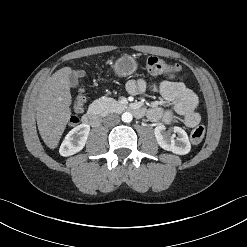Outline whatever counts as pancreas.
<instances>
[{
  "mask_svg": "<svg viewBox=\"0 0 247 247\" xmlns=\"http://www.w3.org/2000/svg\"><path fill=\"white\" fill-rule=\"evenodd\" d=\"M93 106L95 107L96 111L100 114L116 112L124 108V105H122L120 102L109 97H102L96 99L93 102Z\"/></svg>",
  "mask_w": 247,
  "mask_h": 247,
  "instance_id": "1",
  "label": "pancreas"
}]
</instances>
